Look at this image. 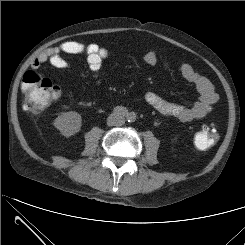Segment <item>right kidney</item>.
I'll return each instance as SVG.
<instances>
[{"label": "right kidney", "mask_w": 245, "mask_h": 245, "mask_svg": "<svg viewBox=\"0 0 245 245\" xmlns=\"http://www.w3.org/2000/svg\"><path fill=\"white\" fill-rule=\"evenodd\" d=\"M54 126L66 137L80 131L82 126L81 116L74 111L65 112L54 120Z\"/></svg>", "instance_id": "ca27d5eb"}]
</instances>
